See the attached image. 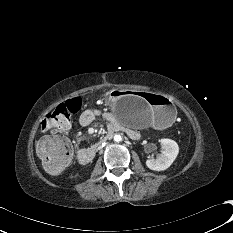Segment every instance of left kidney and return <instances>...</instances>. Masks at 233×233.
<instances>
[{
	"label": "left kidney",
	"mask_w": 233,
	"mask_h": 233,
	"mask_svg": "<svg viewBox=\"0 0 233 233\" xmlns=\"http://www.w3.org/2000/svg\"><path fill=\"white\" fill-rule=\"evenodd\" d=\"M160 143L162 145L161 154L156 159H148L146 161V166L154 171L166 170L171 166L179 153V146L174 140L164 138L160 140Z\"/></svg>",
	"instance_id": "1"
}]
</instances>
